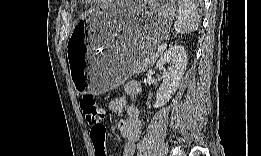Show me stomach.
Wrapping results in <instances>:
<instances>
[{
    "label": "stomach",
    "instance_id": "stomach-1",
    "mask_svg": "<svg viewBox=\"0 0 261 156\" xmlns=\"http://www.w3.org/2000/svg\"><path fill=\"white\" fill-rule=\"evenodd\" d=\"M175 11L165 2H108L90 10L77 22L67 47L75 90L99 94L125 81L164 40Z\"/></svg>",
    "mask_w": 261,
    "mask_h": 156
}]
</instances>
